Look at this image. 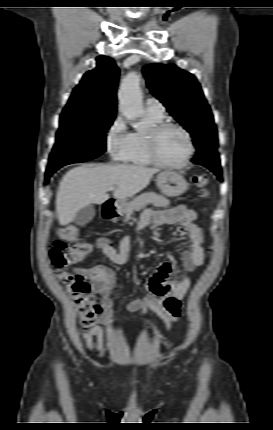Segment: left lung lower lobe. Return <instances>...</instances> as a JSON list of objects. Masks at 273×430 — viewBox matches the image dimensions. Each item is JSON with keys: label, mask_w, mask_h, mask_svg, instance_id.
I'll return each instance as SVG.
<instances>
[{"label": "left lung lower lobe", "mask_w": 273, "mask_h": 430, "mask_svg": "<svg viewBox=\"0 0 273 430\" xmlns=\"http://www.w3.org/2000/svg\"><path fill=\"white\" fill-rule=\"evenodd\" d=\"M192 162L207 167L214 172L219 179H222L219 153L217 151H204L202 154L194 157Z\"/></svg>", "instance_id": "1"}]
</instances>
